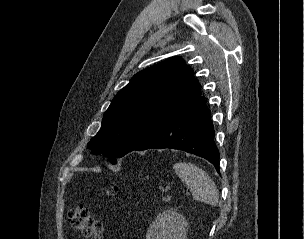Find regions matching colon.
<instances>
[{"mask_svg": "<svg viewBox=\"0 0 304 239\" xmlns=\"http://www.w3.org/2000/svg\"><path fill=\"white\" fill-rule=\"evenodd\" d=\"M113 189H104L103 194L106 197L112 195ZM116 189V188H115ZM70 225L82 236L90 239H102L105 223L103 219H95L90 214L85 205H78L68 212Z\"/></svg>", "mask_w": 304, "mask_h": 239, "instance_id": "colon-1", "label": "colon"}]
</instances>
